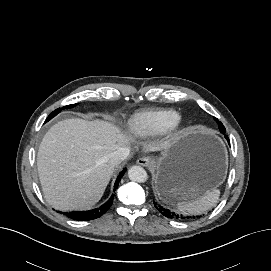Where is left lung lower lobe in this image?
<instances>
[{"label": "left lung lower lobe", "instance_id": "0a47b994", "mask_svg": "<svg viewBox=\"0 0 271 271\" xmlns=\"http://www.w3.org/2000/svg\"><path fill=\"white\" fill-rule=\"evenodd\" d=\"M222 128L224 129V131H223L222 133H225V128H224V127H222ZM225 138H226V139L228 140V142H229L228 137L225 136ZM154 205H155V207L157 208V210H158L161 214H163L164 216H166L167 218H171V219H172V218H173V219H189V217H185V216H182V215H178V214H176V213L170 211L169 209L160 206V205L157 204V203H156V204L154 203Z\"/></svg>", "mask_w": 271, "mask_h": 271}]
</instances>
